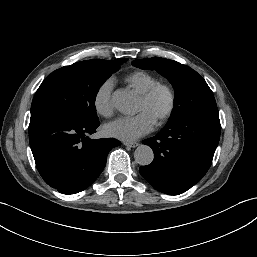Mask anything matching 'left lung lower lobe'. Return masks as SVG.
I'll list each match as a JSON object with an SVG mask.
<instances>
[{"mask_svg": "<svg viewBox=\"0 0 257 257\" xmlns=\"http://www.w3.org/2000/svg\"><path fill=\"white\" fill-rule=\"evenodd\" d=\"M217 106H210L166 126L143 140L154 151L150 165L139 168L157 190L181 194L208 171L220 138Z\"/></svg>", "mask_w": 257, "mask_h": 257, "instance_id": "1", "label": "left lung lower lobe"}]
</instances>
